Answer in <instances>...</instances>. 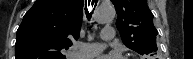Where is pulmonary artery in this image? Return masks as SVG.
Listing matches in <instances>:
<instances>
[{
    "label": "pulmonary artery",
    "instance_id": "obj_1",
    "mask_svg": "<svg viewBox=\"0 0 193 59\" xmlns=\"http://www.w3.org/2000/svg\"><path fill=\"white\" fill-rule=\"evenodd\" d=\"M102 35L104 40L113 41L115 40V33L112 27H103ZM105 49V45L102 43H86L83 49L73 50L74 59H89L97 56Z\"/></svg>",
    "mask_w": 193,
    "mask_h": 59
}]
</instances>
